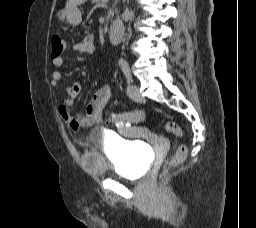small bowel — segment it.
Here are the masks:
<instances>
[{"instance_id":"c3829d8e","label":"small bowel","mask_w":256,"mask_h":228,"mask_svg":"<svg viewBox=\"0 0 256 228\" xmlns=\"http://www.w3.org/2000/svg\"><path fill=\"white\" fill-rule=\"evenodd\" d=\"M72 50L81 56L92 54L95 51V42L92 35L85 36L81 41L72 45ZM65 62L64 53L52 55V63L55 67H61ZM62 79L60 71H54L51 76V85L57 89L58 83ZM81 91V84L78 81L73 82L68 86L66 95L59 105V114L67 123L68 127L73 131H78L81 128L91 127L94 124L103 121V110L112 95V87L110 84L102 85L94 94L92 100L86 106L85 111L81 114L73 115L71 107L74 99Z\"/></svg>"}]
</instances>
